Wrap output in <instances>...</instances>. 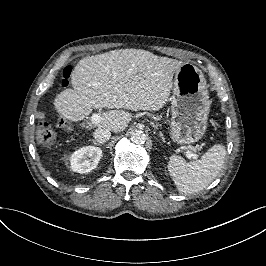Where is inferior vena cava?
Wrapping results in <instances>:
<instances>
[{"instance_id":"1","label":"inferior vena cava","mask_w":266,"mask_h":266,"mask_svg":"<svg viewBox=\"0 0 266 266\" xmlns=\"http://www.w3.org/2000/svg\"><path fill=\"white\" fill-rule=\"evenodd\" d=\"M93 137L99 142H106L111 137V132L107 129H96Z\"/></svg>"}]
</instances>
